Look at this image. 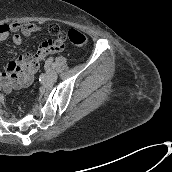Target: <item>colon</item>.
<instances>
[{"instance_id":"obj_1","label":"colon","mask_w":172,"mask_h":172,"mask_svg":"<svg viewBox=\"0 0 172 172\" xmlns=\"http://www.w3.org/2000/svg\"><path fill=\"white\" fill-rule=\"evenodd\" d=\"M29 28H25L24 31L27 33ZM49 32L55 36H57V40H62L63 35L61 34L59 29H55L50 27ZM68 39L76 46L83 47L87 44L86 37L77 30H69L67 33Z\"/></svg>"}]
</instances>
